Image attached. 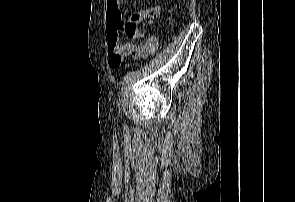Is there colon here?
Masks as SVG:
<instances>
[{"label": "colon", "mask_w": 295, "mask_h": 202, "mask_svg": "<svg viewBox=\"0 0 295 202\" xmlns=\"http://www.w3.org/2000/svg\"><path fill=\"white\" fill-rule=\"evenodd\" d=\"M110 30L108 33L109 38V48L117 47L118 49L126 44L123 39L132 40L139 36L140 30L137 24V21L130 16L128 19L124 21H120L118 23L110 24ZM137 49H135L136 51Z\"/></svg>", "instance_id": "obj_1"}]
</instances>
